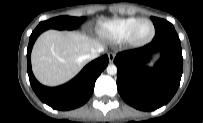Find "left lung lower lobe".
Returning a JSON list of instances; mask_svg holds the SVG:
<instances>
[{
	"instance_id": "1",
	"label": "left lung lower lobe",
	"mask_w": 203,
	"mask_h": 123,
	"mask_svg": "<svg viewBox=\"0 0 203 123\" xmlns=\"http://www.w3.org/2000/svg\"><path fill=\"white\" fill-rule=\"evenodd\" d=\"M161 58L154 68L145 65L153 53ZM117 88L126 103L142 111L167 104L176 93L183 69L180 39L175 30L156 34L151 43L117 54Z\"/></svg>"
}]
</instances>
